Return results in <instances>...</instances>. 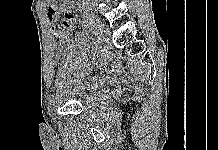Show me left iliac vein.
Returning <instances> with one entry per match:
<instances>
[{
  "label": "left iliac vein",
  "mask_w": 218,
  "mask_h": 150,
  "mask_svg": "<svg viewBox=\"0 0 218 150\" xmlns=\"http://www.w3.org/2000/svg\"><path fill=\"white\" fill-rule=\"evenodd\" d=\"M96 29H97V33H98V39H99L98 42L101 45H106L109 41V37L107 35V30H106L105 24L102 22H98Z\"/></svg>",
  "instance_id": "4c4485c4"
}]
</instances>
